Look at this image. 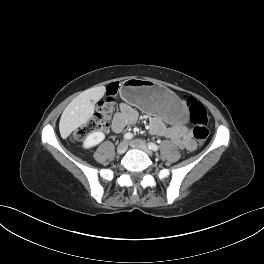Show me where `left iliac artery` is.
I'll return each mask as SVG.
<instances>
[{
	"label": "left iliac artery",
	"mask_w": 264,
	"mask_h": 264,
	"mask_svg": "<svg viewBox=\"0 0 264 264\" xmlns=\"http://www.w3.org/2000/svg\"><path fill=\"white\" fill-rule=\"evenodd\" d=\"M148 147H149V149H151L153 151H158L159 150L158 145H156L155 143H152V142L148 143Z\"/></svg>",
	"instance_id": "1"
}]
</instances>
